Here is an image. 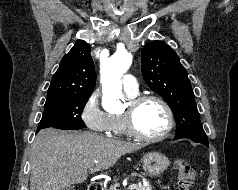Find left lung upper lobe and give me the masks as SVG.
Returning a JSON list of instances; mask_svg holds the SVG:
<instances>
[{
  "mask_svg": "<svg viewBox=\"0 0 238 190\" xmlns=\"http://www.w3.org/2000/svg\"><path fill=\"white\" fill-rule=\"evenodd\" d=\"M142 75L148 86L169 105L176 120L175 138L208 143L187 71L176 52L161 41L147 43L142 51Z\"/></svg>",
  "mask_w": 238,
  "mask_h": 190,
  "instance_id": "obj_1",
  "label": "left lung upper lobe"
}]
</instances>
